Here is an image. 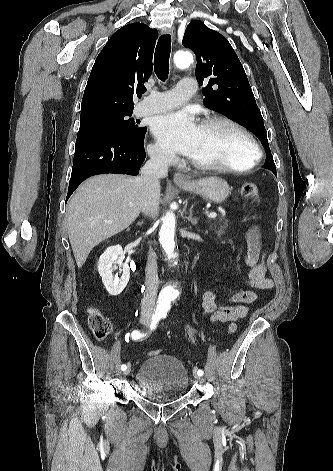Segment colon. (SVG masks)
I'll return each mask as SVG.
<instances>
[{
    "label": "colon",
    "mask_w": 333,
    "mask_h": 471,
    "mask_svg": "<svg viewBox=\"0 0 333 471\" xmlns=\"http://www.w3.org/2000/svg\"><path fill=\"white\" fill-rule=\"evenodd\" d=\"M241 195L246 199L257 200L259 198L257 185L254 183L243 184L241 187ZM89 326L98 340L107 338L112 332L111 322L95 308H91L89 310ZM228 331L231 334L235 333L237 331V325L235 323H231L228 327ZM148 354L151 356L157 355L160 354V351L153 350Z\"/></svg>",
    "instance_id": "obj_1"
}]
</instances>
